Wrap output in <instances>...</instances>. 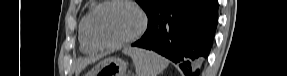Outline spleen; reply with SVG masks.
Wrapping results in <instances>:
<instances>
[{
  "label": "spleen",
  "instance_id": "spleen-1",
  "mask_svg": "<svg viewBox=\"0 0 287 76\" xmlns=\"http://www.w3.org/2000/svg\"><path fill=\"white\" fill-rule=\"evenodd\" d=\"M123 53L133 60L137 76H157L169 65L167 59L153 51L125 48Z\"/></svg>",
  "mask_w": 287,
  "mask_h": 76
}]
</instances>
